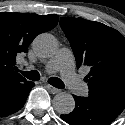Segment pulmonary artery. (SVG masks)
<instances>
[{
	"mask_svg": "<svg viewBox=\"0 0 125 125\" xmlns=\"http://www.w3.org/2000/svg\"><path fill=\"white\" fill-rule=\"evenodd\" d=\"M45 71L49 74L59 71L68 88L76 94H84L87 90L86 85L74 73V57L72 51L68 48H61L47 62Z\"/></svg>",
	"mask_w": 125,
	"mask_h": 125,
	"instance_id": "e3ab8cb5",
	"label": "pulmonary artery"
}]
</instances>
